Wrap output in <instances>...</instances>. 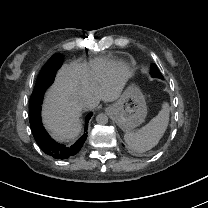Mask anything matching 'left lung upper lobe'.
<instances>
[{
	"label": "left lung upper lobe",
	"instance_id": "obj_1",
	"mask_svg": "<svg viewBox=\"0 0 208 208\" xmlns=\"http://www.w3.org/2000/svg\"><path fill=\"white\" fill-rule=\"evenodd\" d=\"M150 73H151L152 77H157V78L163 79L161 72L159 71V69L157 68V66L155 64L151 65Z\"/></svg>",
	"mask_w": 208,
	"mask_h": 208
}]
</instances>
